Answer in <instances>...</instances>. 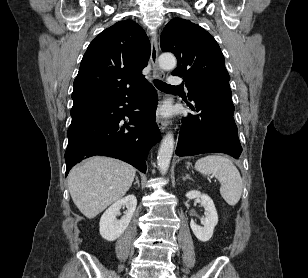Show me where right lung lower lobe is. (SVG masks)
<instances>
[{
	"instance_id": "right-lung-lower-lobe-1",
	"label": "right lung lower lobe",
	"mask_w": 308,
	"mask_h": 278,
	"mask_svg": "<svg viewBox=\"0 0 308 278\" xmlns=\"http://www.w3.org/2000/svg\"><path fill=\"white\" fill-rule=\"evenodd\" d=\"M156 105L157 92L146 82L128 97L72 114L65 152L66 176L77 162L93 155L121 159L145 173L146 154L160 140Z\"/></svg>"
}]
</instances>
